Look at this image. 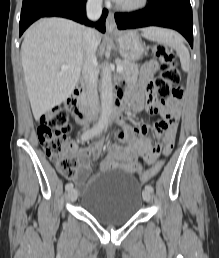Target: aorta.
<instances>
[{"instance_id":"762f6f07","label":"aorta","mask_w":219,"mask_h":258,"mask_svg":"<svg viewBox=\"0 0 219 258\" xmlns=\"http://www.w3.org/2000/svg\"><path fill=\"white\" fill-rule=\"evenodd\" d=\"M113 110L112 73L108 64L102 66L101 74V116L96 127L103 130L111 117Z\"/></svg>"}]
</instances>
